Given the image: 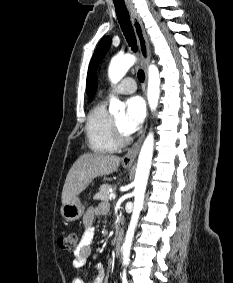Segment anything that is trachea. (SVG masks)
I'll list each match as a JSON object with an SVG mask.
<instances>
[{
    "mask_svg": "<svg viewBox=\"0 0 233 283\" xmlns=\"http://www.w3.org/2000/svg\"><path fill=\"white\" fill-rule=\"evenodd\" d=\"M115 11L116 16L118 19V22L121 26V29L123 31V34L131 47V49L136 52L137 51V45H136V37L134 34V30L130 21L129 12L126 7L116 6L115 5ZM138 79L140 82H143L145 79V74L143 70L138 71Z\"/></svg>",
    "mask_w": 233,
    "mask_h": 283,
    "instance_id": "obj_1",
    "label": "trachea"
}]
</instances>
